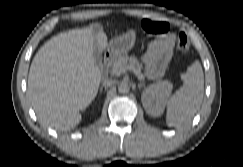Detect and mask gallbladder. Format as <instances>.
<instances>
[{
  "label": "gallbladder",
  "mask_w": 243,
  "mask_h": 167,
  "mask_svg": "<svg viewBox=\"0 0 243 167\" xmlns=\"http://www.w3.org/2000/svg\"><path fill=\"white\" fill-rule=\"evenodd\" d=\"M100 27H94L93 28V37H94V49H93V56L94 60L97 64H100L102 61V55L101 51L99 49V46L97 45V35L101 32Z\"/></svg>",
  "instance_id": "obj_1"
}]
</instances>
